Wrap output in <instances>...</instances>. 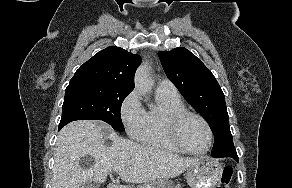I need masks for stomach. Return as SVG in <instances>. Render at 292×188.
Wrapping results in <instances>:
<instances>
[{
    "label": "stomach",
    "mask_w": 292,
    "mask_h": 188,
    "mask_svg": "<svg viewBox=\"0 0 292 188\" xmlns=\"http://www.w3.org/2000/svg\"><path fill=\"white\" fill-rule=\"evenodd\" d=\"M223 173L222 164L210 157H201L187 169L186 180L191 188H215Z\"/></svg>",
    "instance_id": "0dacf381"
}]
</instances>
